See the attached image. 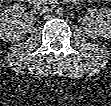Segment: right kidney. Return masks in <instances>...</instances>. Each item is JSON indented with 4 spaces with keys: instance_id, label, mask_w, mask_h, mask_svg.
Here are the masks:
<instances>
[{
    "instance_id": "right-kidney-1",
    "label": "right kidney",
    "mask_w": 111,
    "mask_h": 106,
    "mask_svg": "<svg viewBox=\"0 0 111 106\" xmlns=\"http://www.w3.org/2000/svg\"><path fill=\"white\" fill-rule=\"evenodd\" d=\"M24 12L25 6L22 3H15L2 11L0 35L3 41L21 40L31 32L35 17Z\"/></svg>"
}]
</instances>
